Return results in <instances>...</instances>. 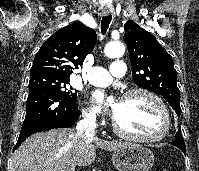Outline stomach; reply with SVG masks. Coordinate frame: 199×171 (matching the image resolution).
Here are the masks:
<instances>
[{
  "instance_id": "stomach-1",
  "label": "stomach",
  "mask_w": 199,
  "mask_h": 171,
  "mask_svg": "<svg viewBox=\"0 0 199 171\" xmlns=\"http://www.w3.org/2000/svg\"><path fill=\"white\" fill-rule=\"evenodd\" d=\"M112 162L118 171H149L154 155L143 145L127 143L114 151Z\"/></svg>"
}]
</instances>
